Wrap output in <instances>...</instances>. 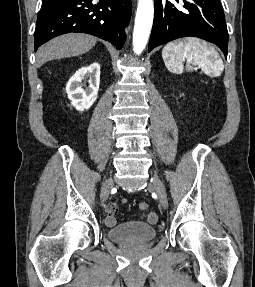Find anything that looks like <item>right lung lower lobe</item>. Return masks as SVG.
I'll list each match as a JSON object with an SVG mask.
<instances>
[{
    "mask_svg": "<svg viewBox=\"0 0 255 287\" xmlns=\"http://www.w3.org/2000/svg\"><path fill=\"white\" fill-rule=\"evenodd\" d=\"M52 0L38 13L34 33L35 51L50 39L83 32L107 40L121 49L124 28L131 16V0Z\"/></svg>",
    "mask_w": 255,
    "mask_h": 287,
    "instance_id": "98d812e1",
    "label": "right lung lower lobe"
}]
</instances>
